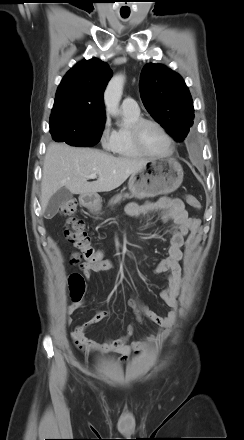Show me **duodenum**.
I'll return each instance as SVG.
<instances>
[{"label": "duodenum", "instance_id": "duodenum-1", "mask_svg": "<svg viewBox=\"0 0 244 440\" xmlns=\"http://www.w3.org/2000/svg\"><path fill=\"white\" fill-rule=\"evenodd\" d=\"M82 201H83L84 203H88L89 201H91V198H89V197H83Z\"/></svg>", "mask_w": 244, "mask_h": 440}]
</instances>
